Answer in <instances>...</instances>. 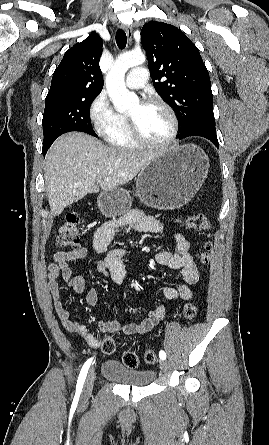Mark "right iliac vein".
Returning <instances> with one entry per match:
<instances>
[{
    "mask_svg": "<svg viewBox=\"0 0 269 445\" xmlns=\"http://www.w3.org/2000/svg\"><path fill=\"white\" fill-rule=\"evenodd\" d=\"M94 378H95V373H94V370H92L85 382L83 392H82L83 397L87 398L91 395L92 390H93V385H94Z\"/></svg>",
    "mask_w": 269,
    "mask_h": 445,
    "instance_id": "right-iliac-vein-1",
    "label": "right iliac vein"
}]
</instances>
